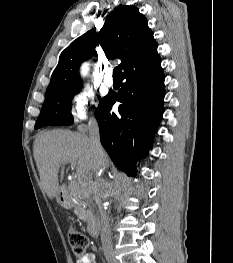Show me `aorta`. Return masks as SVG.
<instances>
[{
  "label": "aorta",
  "instance_id": "aorta-1",
  "mask_svg": "<svg viewBox=\"0 0 233 263\" xmlns=\"http://www.w3.org/2000/svg\"><path fill=\"white\" fill-rule=\"evenodd\" d=\"M86 72H87V67H86V66H84V67L82 68V74H83V75H85V74H86Z\"/></svg>",
  "mask_w": 233,
  "mask_h": 263
}]
</instances>
